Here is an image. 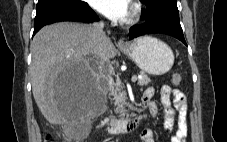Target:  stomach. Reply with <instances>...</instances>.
I'll return each mask as SVG.
<instances>
[{"label":"stomach","mask_w":227,"mask_h":142,"mask_svg":"<svg viewBox=\"0 0 227 142\" xmlns=\"http://www.w3.org/2000/svg\"><path fill=\"white\" fill-rule=\"evenodd\" d=\"M121 51L144 72L151 75L167 73L173 66L174 55L164 42L144 36L129 42Z\"/></svg>","instance_id":"stomach-1"}]
</instances>
